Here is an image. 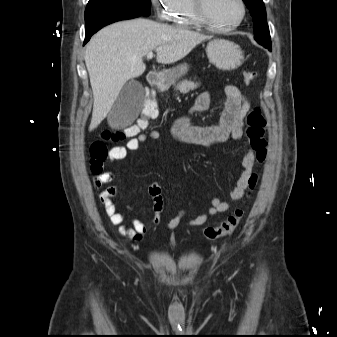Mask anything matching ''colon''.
<instances>
[{
    "label": "colon",
    "instance_id": "colon-1",
    "mask_svg": "<svg viewBox=\"0 0 337 337\" xmlns=\"http://www.w3.org/2000/svg\"><path fill=\"white\" fill-rule=\"evenodd\" d=\"M245 81L248 85H252L257 74L254 71H246L244 73ZM144 100H141V107H144L142 113L136 123L116 131H105L101 134V139L95 140L90 146V167L95 173H99L102 169L103 161L107 157V147L104 141H122L127 138H133L140 134L149 125L150 119L157 118V97L155 91H144ZM247 129L246 135L249 140L251 149L254 151L256 159L259 163H263L267 157V141L265 138L266 120L262 110L259 107L252 108L246 118ZM258 177L252 174L248 187L253 190L257 184ZM242 208L236 209L226 220L215 227H207L203 230V237L206 240H216L221 237L232 234L239 226L244 217Z\"/></svg>",
    "mask_w": 337,
    "mask_h": 337
}]
</instances>
